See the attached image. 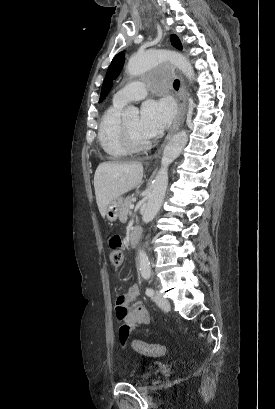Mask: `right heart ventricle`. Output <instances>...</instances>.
Returning <instances> with one entry per match:
<instances>
[{"label":"right heart ventricle","mask_w":275,"mask_h":409,"mask_svg":"<svg viewBox=\"0 0 275 409\" xmlns=\"http://www.w3.org/2000/svg\"><path fill=\"white\" fill-rule=\"evenodd\" d=\"M123 106L113 104L102 115L98 129V141L108 157H123L129 154L122 135Z\"/></svg>","instance_id":"e07e8e85"}]
</instances>
